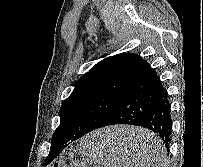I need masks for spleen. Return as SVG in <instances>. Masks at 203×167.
I'll return each instance as SVG.
<instances>
[{"instance_id": "3e777b00", "label": "spleen", "mask_w": 203, "mask_h": 167, "mask_svg": "<svg viewBox=\"0 0 203 167\" xmlns=\"http://www.w3.org/2000/svg\"><path fill=\"white\" fill-rule=\"evenodd\" d=\"M113 140L108 133L97 131L83 138L79 152L104 167H132L124 160H116L112 151ZM166 150L158 137L150 134L141 147V158L135 167H167Z\"/></svg>"}]
</instances>
